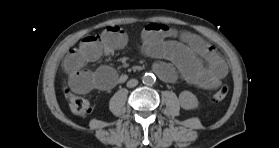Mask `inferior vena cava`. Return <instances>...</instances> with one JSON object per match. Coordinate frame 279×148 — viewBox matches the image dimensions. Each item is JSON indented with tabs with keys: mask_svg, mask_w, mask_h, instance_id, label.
Listing matches in <instances>:
<instances>
[{
	"mask_svg": "<svg viewBox=\"0 0 279 148\" xmlns=\"http://www.w3.org/2000/svg\"><path fill=\"white\" fill-rule=\"evenodd\" d=\"M138 84V80L137 79H130L127 82V87L132 88L135 87Z\"/></svg>",
	"mask_w": 279,
	"mask_h": 148,
	"instance_id": "602c4592",
	"label": "inferior vena cava"
}]
</instances>
